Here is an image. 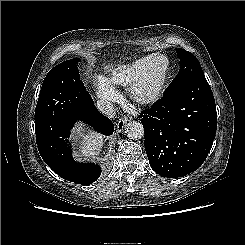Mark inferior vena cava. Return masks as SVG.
Masks as SVG:
<instances>
[{"instance_id":"obj_1","label":"inferior vena cava","mask_w":245,"mask_h":245,"mask_svg":"<svg viewBox=\"0 0 245 245\" xmlns=\"http://www.w3.org/2000/svg\"><path fill=\"white\" fill-rule=\"evenodd\" d=\"M98 110L109 118L115 116V106L108 100L101 99L97 101Z\"/></svg>"}]
</instances>
